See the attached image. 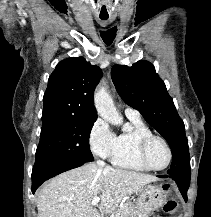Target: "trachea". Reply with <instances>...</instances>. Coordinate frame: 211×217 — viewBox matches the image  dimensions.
I'll list each match as a JSON object with an SVG mask.
<instances>
[{
  "label": "trachea",
  "instance_id": "1",
  "mask_svg": "<svg viewBox=\"0 0 211 217\" xmlns=\"http://www.w3.org/2000/svg\"><path fill=\"white\" fill-rule=\"evenodd\" d=\"M102 20H107V18H101Z\"/></svg>",
  "mask_w": 211,
  "mask_h": 217
}]
</instances>
